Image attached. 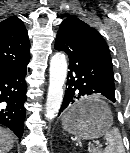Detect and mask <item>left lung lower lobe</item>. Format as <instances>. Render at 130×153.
Wrapping results in <instances>:
<instances>
[{"label": "left lung lower lobe", "instance_id": "left-lung-lower-lobe-1", "mask_svg": "<svg viewBox=\"0 0 130 153\" xmlns=\"http://www.w3.org/2000/svg\"><path fill=\"white\" fill-rule=\"evenodd\" d=\"M55 49L69 57L67 90L59 114L76 99L98 94L115 102L113 71L93 52L80 44L57 34Z\"/></svg>", "mask_w": 130, "mask_h": 153}]
</instances>
